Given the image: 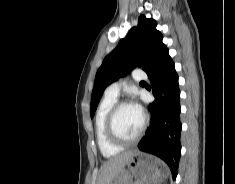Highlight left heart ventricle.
<instances>
[{
    "mask_svg": "<svg viewBox=\"0 0 235 184\" xmlns=\"http://www.w3.org/2000/svg\"><path fill=\"white\" fill-rule=\"evenodd\" d=\"M143 124V115L136 112L131 106L123 107L116 117V127L121 136L127 139L134 138Z\"/></svg>",
    "mask_w": 235,
    "mask_h": 184,
    "instance_id": "1",
    "label": "left heart ventricle"
}]
</instances>
